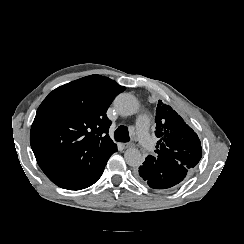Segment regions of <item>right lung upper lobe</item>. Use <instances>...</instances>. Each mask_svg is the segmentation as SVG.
Listing matches in <instances>:
<instances>
[{
  "instance_id": "cb5924a9",
  "label": "right lung upper lobe",
  "mask_w": 244,
  "mask_h": 244,
  "mask_svg": "<svg viewBox=\"0 0 244 244\" xmlns=\"http://www.w3.org/2000/svg\"><path fill=\"white\" fill-rule=\"evenodd\" d=\"M124 90L114 80L90 75L56 88L44 99L30 143L48 177L116 147L108 135L106 111Z\"/></svg>"
}]
</instances>
